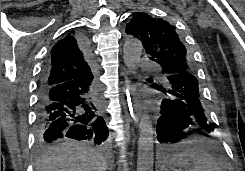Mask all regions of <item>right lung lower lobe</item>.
Wrapping results in <instances>:
<instances>
[{
  "instance_id": "right-lung-lower-lobe-1",
  "label": "right lung lower lobe",
  "mask_w": 245,
  "mask_h": 171,
  "mask_svg": "<svg viewBox=\"0 0 245 171\" xmlns=\"http://www.w3.org/2000/svg\"><path fill=\"white\" fill-rule=\"evenodd\" d=\"M80 46L93 67L90 46L81 37ZM46 71L47 66H44L38 92L37 139L51 142L68 137L103 143L108 137V129L99 109L94 68L89 77L54 85L43 83Z\"/></svg>"
}]
</instances>
